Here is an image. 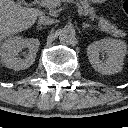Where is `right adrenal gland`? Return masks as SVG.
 Masks as SVG:
<instances>
[{
    "mask_svg": "<svg viewBox=\"0 0 128 128\" xmlns=\"http://www.w3.org/2000/svg\"><path fill=\"white\" fill-rule=\"evenodd\" d=\"M37 28H38V29H41V28H42V26L38 25V26H37Z\"/></svg>",
    "mask_w": 128,
    "mask_h": 128,
    "instance_id": "1",
    "label": "right adrenal gland"
}]
</instances>
